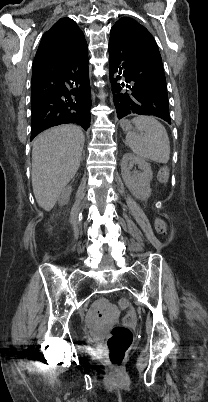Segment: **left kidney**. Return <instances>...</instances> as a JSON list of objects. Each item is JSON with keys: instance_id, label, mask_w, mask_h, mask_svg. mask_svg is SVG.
<instances>
[{"instance_id": "1", "label": "left kidney", "mask_w": 208, "mask_h": 402, "mask_svg": "<svg viewBox=\"0 0 208 402\" xmlns=\"http://www.w3.org/2000/svg\"><path fill=\"white\" fill-rule=\"evenodd\" d=\"M134 164H137L140 172H130ZM121 174L125 186L130 190L132 196L137 200H148L151 194L150 182L152 180V170L150 164L135 156V154H124L121 160Z\"/></svg>"}]
</instances>
